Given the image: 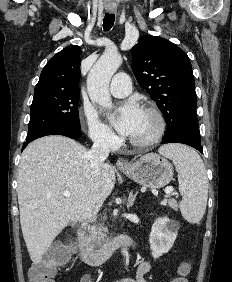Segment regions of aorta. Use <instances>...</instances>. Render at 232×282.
<instances>
[{"label": "aorta", "mask_w": 232, "mask_h": 282, "mask_svg": "<svg viewBox=\"0 0 232 282\" xmlns=\"http://www.w3.org/2000/svg\"><path fill=\"white\" fill-rule=\"evenodd\" d=\"M121 63V55L112 50L106 51L91 68L87 77V90L93 102L106 108L112 106L109 83ZM122 254L128 255L126 248L122 249Z\"/></svg>", "instance_id": "obj_1"}]
</instances>
